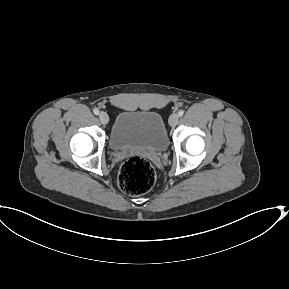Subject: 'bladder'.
<instances>
[{
	"instance_id": "31cf9c89",
	"label": "bladder",
	"mask_w": 289,
	"mask_h": 289,
	"mask_svg": "<svg viewBox=\"0 0 289 289\" xmlns=\"http://www.w3.org/2000/svg\"><path fill=\"white\" fill-rule=\"evenodd\" d=\"M109 146L117 152L136 149L162 153L168 147L164 121L155 111H122L112 126Z\"/></svg>"
}]
</instances>
